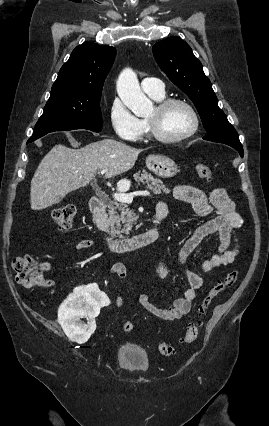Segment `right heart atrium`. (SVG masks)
I'll return each instance as SVG.
<instances>
[{"instance_id": "obj_1", "label": "right heart atrium", "mask_w": 269, "mask_h": 426, "mask_svg": "<svg viewBox=\"0 0 269 426\" xmlns=\"http://www.w3.org/2000/svg\"><path fill=\"white\" fill-rule=\"evenodd\" d=\"M109 121L114 133L123 140L136 141L144 134L142 120L136 117L118 96L111 98Z\"/></svg>"}]
</instances>
